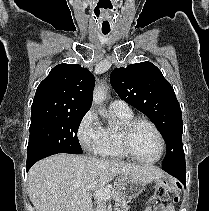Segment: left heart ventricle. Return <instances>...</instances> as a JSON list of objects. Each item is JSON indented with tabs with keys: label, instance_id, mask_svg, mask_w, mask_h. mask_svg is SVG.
<instances>
[{
	"label": "left heart ventricle",
	"instance_id": "b2bd125f",
	"mask_svg": "<svg viewBox=\"0 0 209 211\" xmlns=\"http://www.w3.org/2000/svg\"><path fill=\"white\" fill-rule=\"evenodd\" d=\"M133 152L142 160H154L160 151L158 137L147 124L138 125L131 138Z\"/></svg>",
	"mask_w": 209,
	"mask_h": 211
}]
</instances>
